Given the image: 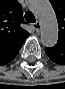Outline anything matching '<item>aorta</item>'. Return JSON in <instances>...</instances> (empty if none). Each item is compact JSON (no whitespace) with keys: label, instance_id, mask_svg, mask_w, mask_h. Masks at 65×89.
<instances>
[{"label":"aorta","instance_id":"762f6f07","mask_svg":"<svg viewBox=\"0 0 65 89\" xmlns=\"http://www.w3.org/2000/svg\"><path fill=\"white\" fill-rule=\"evenodd\" d=\"M32 10L36 13L41 25V43L45 47H53L58 40V24L51 4L46 0L33 3Z\"/></svg>","mask_w":65,"mask_h":89}]
</instances>
